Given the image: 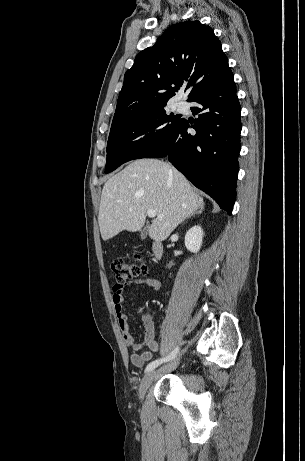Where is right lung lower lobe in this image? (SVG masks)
Here are the masks:
<instances>
[{
  "label": "right lung lower lobe",
  "instance_id": "obj_1",
  "mask_svg": "<svg viewBox=\"0 0 305 461\" xmlns=\"http://www.w3.org/2000/svg\"><path fill=\"white\" fill-rule=\"evenodd\" d=\"M193 125L185 119L167 141L143 158L168 156L169 161L196 187L209 194L230 215L236 198L239 171L241 108L231 72L195 95ZM196 130L195 135L189 132Z\"/></svg>",
  "mask_w": 305,
  "mask_h": 461
}]
</instances>
